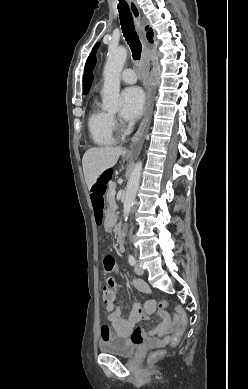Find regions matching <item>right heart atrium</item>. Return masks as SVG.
<instances>
[{"label": "right heart atrium", "mask_w": 248, "mask_h": 389, "mask_svg": "<svg viewBox=\"0 0 248 389\" xmlns=\"http://www.w3.org/2000/svg\"><path fill=\"white\" fill-rule=\"evenodd\" d=\"M112 121H113V125L117 126L118 122H117V119L115 117H112Z\"/></svg>", "instance_id": "obj_1"}]
</instances>
